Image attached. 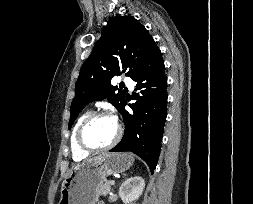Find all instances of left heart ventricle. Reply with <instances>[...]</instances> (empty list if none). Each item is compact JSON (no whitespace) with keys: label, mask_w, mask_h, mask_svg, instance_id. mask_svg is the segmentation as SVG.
Masks as SVG:
<instances>
[{"label":"left heart ventricle","mask_w":253,"mask_h":204,"mask_svg":"<svg viewBox=\"0 0 253 204\" xmlns=\"http://www.w3.org/2000/svg\"><path fill=\"white\" fill-rule=\"evenodd\" d=\"M116 132L117 124L110 117H100L86 127L84 139L93 147H102L114 139Z\"/></svg>","instance_id":"left-heart-ventricle-1"}]
</instances>
